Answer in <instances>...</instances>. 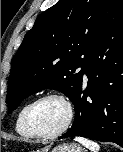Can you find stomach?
Instances as JSON below:
<instances>
[{
  "instance_id": "0dacf381",
  "label": "stomach",
  "mask_w": 123,
  "mask_h": 152,
  "mask_svg": "<svg viewBox=\"0 0 123 152\" xmlns=\"http://www.w3.org/2000/svg\"><path fill=\"white\" fill-rule=\"evenodd\" d=\"M51 152H83V149L75 143H69L58 145Z\"/></svg>"
}]
</instances>
